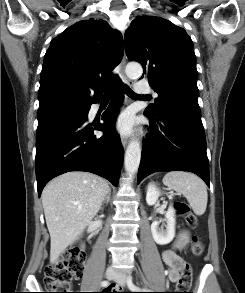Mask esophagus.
Here are the masks:
<instances>
[{
	"mask_svg": "<svg viewBox=\"0 0 245 293\" xmlns=\"http://www.w3.org/2000/svg\"><path fill=\"white\" fill-rule=\"evenodd\" d=\"M125 64H126V58H125V53H124L123 59H122L121 63L119 64V67H120L119 74L125 84L132 85L133 84L132 80H130L125 74V71H124ZM128 141H129L128 137H122L121 142H122L123 147L127 146Z\"/></svg>",
	"mask_w": 245,
	"mask_h": 293,
	"instance_id": "34e87169",
	"label": "esophagus"
}]
</instances>
